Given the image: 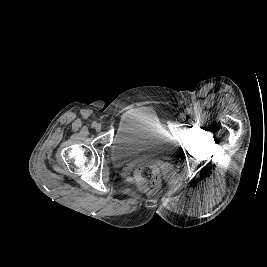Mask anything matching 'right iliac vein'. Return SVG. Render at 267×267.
<instances>
[{
  "label": "right iliac vein",
  "instance_id": "63e3f726",
  "mask_svg": "<svg viewBox=\"0 0 267 267\" xmlns=\"http://www.w3.org/2000/svg\"><path fill=\"white\" fill-rule=\"evenodd\" d=\"M95 129L97 132H100L101 131V125L100 124L96 125Z\"/></svg>",
  "mask_w": 267,
  "mask_h": 267
}]
</instances>
